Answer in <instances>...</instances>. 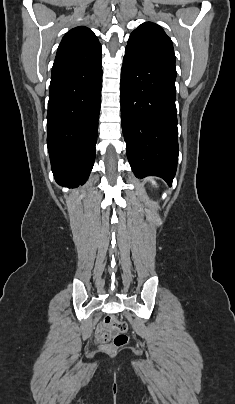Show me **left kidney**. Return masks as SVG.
<instances>
[{"mask_svg": "<svg viewBox=\"0 0 235 404\" xmlns=\"http://www.w3.org/2000/svg\"><path fill=\"white\" fill-rule=\"evenodd\" d=\"M151 183H152L153 185H156V182H155V181H153V180H151Z\"/></svg>", "mask_w": 235, "mask_h": 404, "instance_id": "5707ae66", "label": "left kidney"}]
</instances>
